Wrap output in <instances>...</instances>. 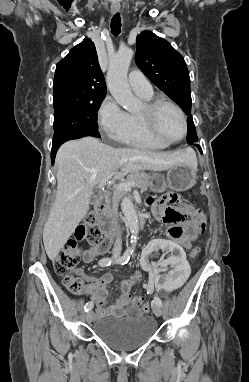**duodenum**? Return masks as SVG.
I'll list each match as a JSON object with an SVG mask.
<instances>
[{
	"instance_id": "1",
	"label": "duodenum",
	"mask_w": 249,
	"mask_h": 382,
	"mask_svg": "<svg viewBox=\"0 0 249 382\" xmlns=\"http://www.w3.org/2000/svg\"><path fill=\"white\" fill-rule=\"evenodd\" d=\"M108 208L107 197L103 194L99 195L95 203V214L100 220L102 230L107 238L113 239L118 237L121 232L119 231L117 224L106 215ZM145 224V218L143 214L138 215V228H142Z\"/></svg>"
}]
</instances>
